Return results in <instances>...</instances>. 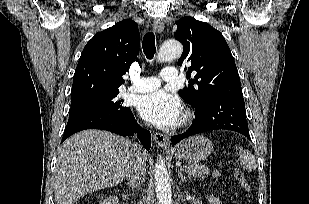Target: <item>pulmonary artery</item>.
Returning <instances> with one entry per match:
<instances>
[{"instance_id": "e3ab8cb5", "label": "pulmonary artery", "mask_w": 309, "mask_h": 204, "mask_svg": "<svg viewBox=\"0 0 309 204\" xmlns=\"http://www.w3.org/2000/svg\"><path fill=\"white\" fill-rule=\"evenodd\" d=\"M178 70L174 67L163 70L161 79L157 77H140L136 79L129 91L134 93H144L155 90L160 87L161 80L165 82L174 81L178 78Z\"/></svg>"}]
</instances>
